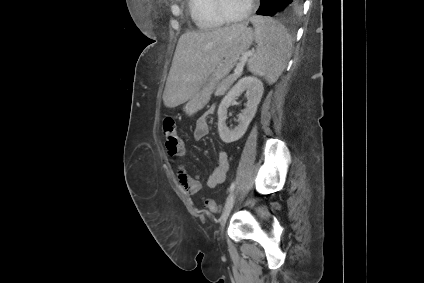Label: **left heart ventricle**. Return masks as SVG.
Returning <instances> with one entry per match:
<instances>
[{
	"label": "left heart ventricle",
	"mask_w": 424,
	"mask_h": 283,
	"mask_svg": "<svg viewBox=\"0 0 424 283\" xmlns=\"http://www.w3.org/2000/svg\"><path fill=\"white\" fill-rule=\"evenodd\" d=\"M223 3L229 14L240 15L247 9L250 0H223Z\"/></svg>",
	"instance_id": "left-heart-ventricle-1"
}]
</instances>
